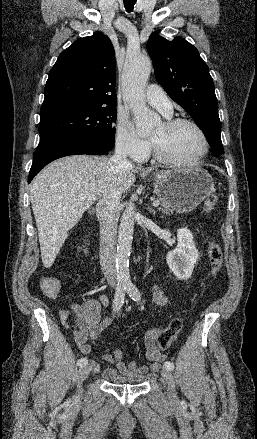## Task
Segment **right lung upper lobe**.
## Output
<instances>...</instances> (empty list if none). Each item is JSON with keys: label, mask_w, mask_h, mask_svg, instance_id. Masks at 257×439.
I'll return each instance as SVG.
<instances>
[{"label": "right lung upper lobe", "mask_w": 257, "mask_h": 439, "mask_svg": "<svg viewBox=\"0 0 257 439\" xmlns=\"http://www.w3.org/2000/svg\"><path fill=\"white\" fill-rule=\"evenodd\" d=\"M115 53L100 33L75 41L49 72L40 118L94 106H116Z\"/></svg>", "instance_id": "cb5924a9"}]
</instances>
